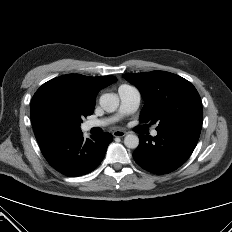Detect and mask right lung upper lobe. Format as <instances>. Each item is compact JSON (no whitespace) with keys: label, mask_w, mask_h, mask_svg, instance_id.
I'll return each instance as SVG.
<instances>
[{"label":"right lung upper lobe","mask_w":232,"mask_h":232,"mask_svg":"<svg viewBox=\"0 0 232 232\" xmlns=\"http://www.w3.org/2000/svg\"><path fill=\"white\" fill-rule=\"evenodd\" d=\"M117 81L114 76L88 77L80 74H69L54 78L44 83L34 94L31 102V121L37 137L47 133L39 124L38 108L42 101L52 94H70L91 114L95 107L98 92Z\"/></svg>","instance_id":"right-lung-upper-lobe-1"}]
</instances>
